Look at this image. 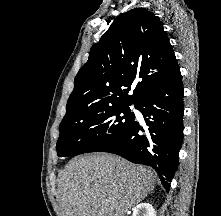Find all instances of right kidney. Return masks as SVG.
<instances>
[{
	"label": "right kidney",
	"instance_id": "ca27d5eb",
	"mask_svg": "<svg viewBox=\"0 0 221 216\" xmlns=\"http://www.w3.org/2000/svg\"><path fill=\"white\" fill-rule=\"evenodd\" d=\"M132 216H156V211L149 203H141L133 209Z\"/></svg>",
	"mask_w": 221,
	"mask_h": 216
}]
</instances>
